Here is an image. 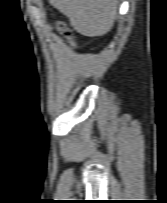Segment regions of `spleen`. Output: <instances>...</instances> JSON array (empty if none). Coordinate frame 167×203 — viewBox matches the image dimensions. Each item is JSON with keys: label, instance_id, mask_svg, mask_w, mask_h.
Masks as SVG:
<instances>
[{"label": "spleen", "instance_id": "1", "mask_svg": "<svg viewBox=\"0 0 167 203\" xmlns=\"http://www.w3.org/2000/svg\"><path fill=\"white\" fill-rule=\"evenodd\" d=\"M50 3L69 18L78 33L95 37L112 29L118 0H50Z\"/></svg>", "mask_w": 167, "mask_h": 203}]
</instances>
